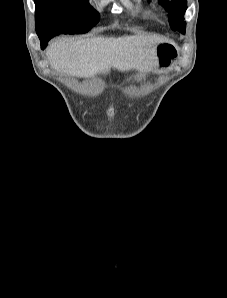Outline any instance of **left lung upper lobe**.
Listing matches in <instances>:
<instances>
[{
  "label": "left lung upper lobe",
  "instance_id": "left-lung-upper-lobe-1",
  "mask_svg": "<svg viewBox=\"0 0 227 298\" xmlns=\"http://www.w3.org/2000/svg\"><path fill=\"white\" fill-rule=\"evenodd\" d=\"M159 3L169 12V22L173 30L185 34L186 22L184 13L187 9L186 0H158Z\"/></svg>",
  "mask_w": 227,
  "mask_h": 298
}]
</instances>
